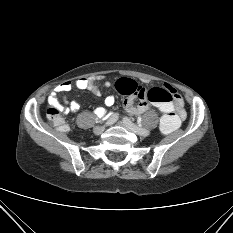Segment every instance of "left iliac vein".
Segmentation results:
<instances>
[{
	"mask_svg": "<svg viewBox=\"0 0 233 233\" xmlns=\"http://www.w3.org/2000/svg\"><path fill=\"white\" fill-rule=\"evenodd\" d=\"M118 124H119L120 126L126 128L127 130L136 133L137 135L144 136L143 134H141V133L135 131L134 129H132L131 127H129L128 125H126L124 120L118 122ZM145 136H147V135H145Z\"/></svg>",
	"mask_w": 233,
	"mask_h": 233,
	"instance_id": "left-iliac-vein-1",
	"label": "left iliac vein"
}]
</instances>
